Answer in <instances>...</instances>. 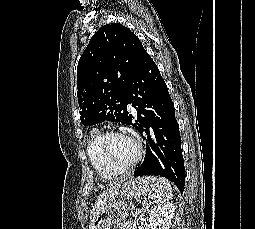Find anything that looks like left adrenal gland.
I'll list each match as a JSON object with an SVG mask.
<instances>
[{
	"mask_svg": "<svg viewBox=\"0 0 255 229\" xmlns=\"http://www.w3.org/2000/svg\"><path fill=\"white\" fill-rule=\"evenodd\" d=\"M149 206H150V204L144 201V203L142 204V213L146 212L148 210Z\"/></svg>",
	"mask_w": 255,
	"mask_h": 229,
	"instance_id": "a2214340",
	"label": "left adrenal gland"
}]
</instances>
